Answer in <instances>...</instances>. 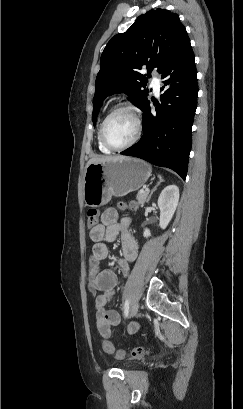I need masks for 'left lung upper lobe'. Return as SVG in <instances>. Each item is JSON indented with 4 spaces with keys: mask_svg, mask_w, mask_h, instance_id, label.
<instances>
[{
    "mask_svg": "<svg viewBox=\"0 0 243 409\" xmlns=\"http://www.w3.org/2000/svg\"><path fill=\"white\" fill-rule=\"evenodd\" d=\"M188 40L179 16L161 8L140 15L126 32L111 38L96 78L93 124L103 100L114 93H126L142 110L149 100L146 85L152 70L156 67L161 74ZM142 67H147V75L139 72Z\"/></svg>",
    "mask_w": 243,
    "mask_h": 409,
    "instance_id": "obj_1",
    "label": "left lung upper lobe"
}]
</instances>
